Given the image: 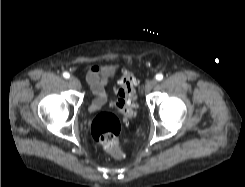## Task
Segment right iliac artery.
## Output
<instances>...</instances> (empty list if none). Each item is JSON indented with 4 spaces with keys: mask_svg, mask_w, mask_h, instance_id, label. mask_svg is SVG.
Returning a JSON list of instances; mask_svg holds the SVG:
<instances>
[{
    "mask_svg": "<svg viewBox=\"0 0 245 187\" xmlns=\"http://www.w3.org/2000/svg\"><path fill=\"white\" fill-rule=\"evenodd\" d=\"M63 77L66 78V79H68L70 77V74L68 72H64L63 73Z\"/></svg>",
    "mask_w": 245,
    "mask_h": 187,
    "instance_id": "82829eb1",
    "label": "right iliac artery"
}]
</instances>
